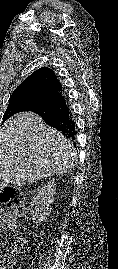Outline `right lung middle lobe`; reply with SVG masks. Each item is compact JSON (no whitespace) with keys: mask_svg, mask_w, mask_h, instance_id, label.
<instances>
[{"mask_svg":"<svg viewBox=\"0 0 118 269\" xmlns=\"http://www.w3.org/2000/svg\"><path fill=\"white\" fill-rule=\"evenodd\" d=\"M25 109L24 103L20 100V97L12 96L9 101V105L4 113L3 120L8 119L10 116L22 112Z\"/></svg>","mask_w":118,"mask_h":269,"instance_id":"dd1d6c3e","label":"right lung middle lobe"}]
</instances>
